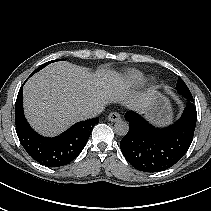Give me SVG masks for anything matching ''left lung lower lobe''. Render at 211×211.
Returning <instances> with one entry per match:
<instances>
[{
    "mask_svg": "<svg viewBox=\"0 0 211 211\" xmlns=\"http://www.w3.org/2000/svg\"><path fill=\"white\" fill-rule=\"evenodd\" d=\"M181 118L166 128H156L133 111L125 114L129 131L120 142L126 160L137 170L159 172L175 165L188 151L197 121L192 94Z\"/></svg>",
    "mask_w": 211,
    "mask_h": 211,
    "instance_id": "obj_1",
    "label": "left lung lower lobe"
}]
</instances>
